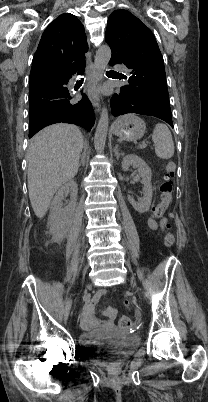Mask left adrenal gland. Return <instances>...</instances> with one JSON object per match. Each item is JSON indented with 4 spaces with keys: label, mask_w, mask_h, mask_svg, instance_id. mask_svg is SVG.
<instances>
[{
    "label": "left adrenal gland",
    "mask_w": 208,
    "mask_h": 402,
    "mask_svg": "<svg viewBox=\"0 0 208 402\" xmlns=\"http://www.w3.org/2000/svg\"><path fill=\"white\" fill-rule=\"evenodd\" d=\"M114 154H115L117 160H119L120 156H123V154H119V152H118V146H115V148H114Z\"/></svg>",
    "instance_id": "a2214340"
}]
</instances>
